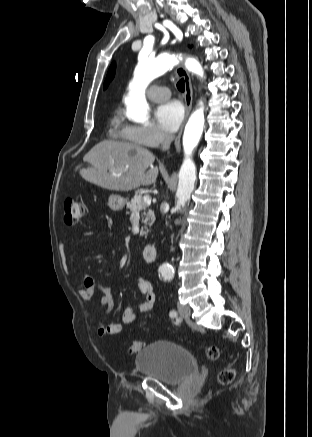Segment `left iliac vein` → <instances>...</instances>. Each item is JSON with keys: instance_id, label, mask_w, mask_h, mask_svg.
Returning a JSON list of instances; mask_svg holds the SVG:
<instances>
[{"instance_id": "obj_1", "label": "left iliac vein", "mask_w": 312, "mask_h": 437, "mask_svg": "<svg viewBox=\"0 0 312 437\" xmlns=\"http://www.w3.org/2000/svg\"><path fill=\"white\" fill-rule=\"evenodd\" d=\"M178 311L182 318L189 320L191 316V309L188 306L178 304Z\"/></svg>"}]
</instances>
